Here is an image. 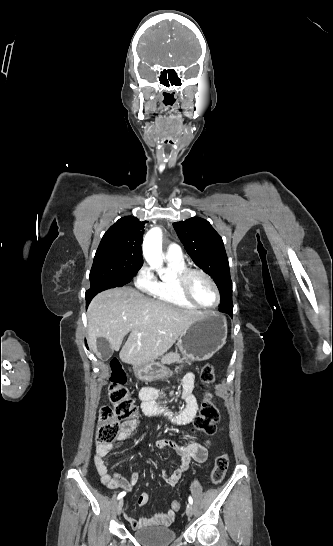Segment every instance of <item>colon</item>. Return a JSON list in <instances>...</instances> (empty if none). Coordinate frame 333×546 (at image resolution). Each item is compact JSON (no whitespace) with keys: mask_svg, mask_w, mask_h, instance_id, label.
I'll return each instance as SVG.
<instances>
[{"mask_svg":"<svg viewBox=\"0 0 333 546\" xmlns=\"http://www.w3.org/2000/svg\"><path fill=\"white\" fill-rule=\"evenodd\" d=\"M110 386L109 398L111 405L101 408L99 424L96 432L97 445H108L113 443L120 431L122 421L136 419L139 409L126 387V373L117 360L110 363ZM215 379L214 367L206 364L200 371V380L204 385L211 384ZM219 420V411L211 401L209 393L206 394L199 414L194 420V431L197 433L212 435L215 432V425ZM229 459L226 454L219 455L214 463L210 474L212 484L222 482L227 472ZM173 511H179L181 503L174 500L171 504Z\"/></svg>","mask_w":333,"mask_h":546,"instance_id":"1","label":"colon"}]
</instances>
